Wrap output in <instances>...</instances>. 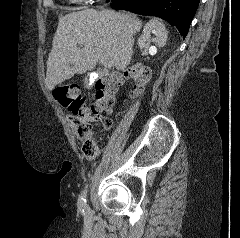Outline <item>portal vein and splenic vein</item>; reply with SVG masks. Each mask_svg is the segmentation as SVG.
Masks as SVG:
<instances>
[{
	"label": "portal vein and splenic vein",
	"mask_w": 240,
	"mask_h": 238,
	"mask_svg": "<svg viewBox=\"0 0 240 238\" xmlns=\"http://www.w3.org/2000/svg\"><path fill=\"white\" fill-rule=\"evenodd\" d=\"M97 56H98L99 60L101 61V63L105 67H112L113 66V63L110 62L100 51L97 52Z\"/></svg>",
	"instance_id": "obj_1"
}]
</instances>
